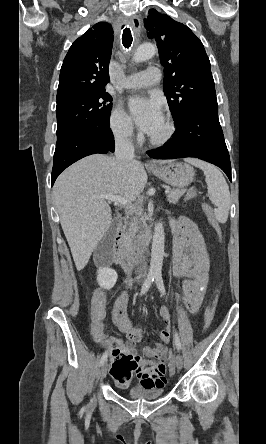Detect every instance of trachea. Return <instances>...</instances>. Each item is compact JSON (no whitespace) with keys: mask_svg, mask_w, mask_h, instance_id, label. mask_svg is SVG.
Masks as SVG:
<instances>
[{"mask_svg":"<svg viewBox=\"0 0 266 444\" xmlns=\"http://www.w3.org/2000/svg\"><path fill=\"white\" fill-rule=\"evenodd\" d=\"M133 37L130 28L126 27L122 34V44L125 48H129L132 44Z\"/></svg>","mask_w":266,"mask_h":444,"instance_id":"1","label":"trachea"}]
</instances>
